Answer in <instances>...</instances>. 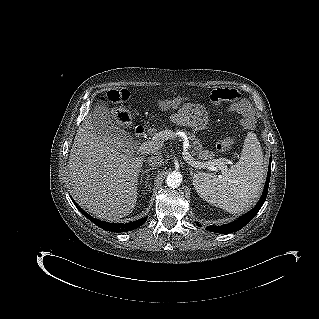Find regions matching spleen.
Wrapping results in <instances>:
<instances>
[{"instance_id":"spleen-1","label":"spleen","mask_w":319,"mask_h":319,"mask_svg":"<svg viewBox=\"0 0 319 319\" xmlns=\"http://www.w3.org/2000/svg\"><path fill=\"white\" fill-rule=\"evenodd\" d=\"M264 179L263 154L253 132L245 138L239 161L222 176L198 172L193 185L201 198L229 213L250 207L258 197Z\"/></svg>"}]
</instances>
